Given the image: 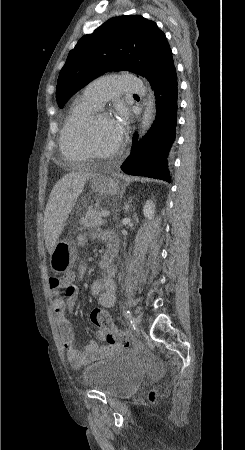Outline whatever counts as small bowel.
Wrapping results in <instances>:
<instances>
[{
	"mask_svg": "<svg viewBox=\"0 0 245 450\" xmlns=\"http://www.w3.org/2000/svg\"><path fill=\"white\" fill-rule=\"evenodd\" d=\"M79 245H84L87 242V236L80 235L77 238ZM118 250V241L112 235H107V249L106 257L108 256L112 262ZM116 269L111 263L110 268L104 272L102 278L97 279L91 286L92 292L98 298V305L102 309H107L115 304V289L116 283L114 280ZM85 269L80 266L78 275L83 277ZM68 281H62L58 277L51 276L49 278L50 292L53 298V311L56 316L57 325L61 336L62 345L67 354L69 364L74 368H81L98 356L105 354L108 349L101 347L97 342L91 340L83 347H77L75 341V333L72 329L70 320L67 317L66 311L72 310L80 296L81 290L78 286L73 284L74 274L67 276ZM97 337L100 340H105L103 330L97 331Z\"/></svg>",
	"mask_w": 245,
	"mask_h": 450,
	"instance_id": "small-bowel-1",
	"label": "small bowel"
}]
</instances>
